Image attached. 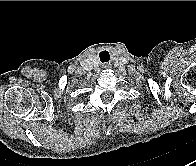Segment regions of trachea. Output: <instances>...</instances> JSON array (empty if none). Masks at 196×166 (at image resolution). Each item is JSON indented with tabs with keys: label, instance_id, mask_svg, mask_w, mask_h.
I'll return each instance as SVG.
<instances>
[{
	"label": "trachea",
	"instance_id": "trachea-1",
	"mask_svg": "<svg viewBox=\"0 0 196 166\" xmlns=\"http://www.w3.org/2000/svg\"><path fill=\"white\" fill-rule=\"evenodd\" d=\"M108 52L107 51H102L100 53V58L102 59V57L106 54L108 57H109V54H107Z\"/></svg>",
	"mask_w": 196,
	"mask_h": 166
}]
</instances>
